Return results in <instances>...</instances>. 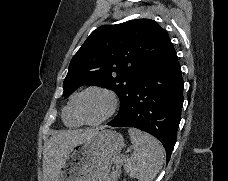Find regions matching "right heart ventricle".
Wrapping results in <instances>:
<instances>
[{
  "label": "right heart ventricle",
  "instance_id": "e07e8e85",
  "mask_svg": "<svg viewBox=\"0 0 228 181\" xmlns=\"http://www.w3.org/2000/svg\"><path fill=\"white\" fill-rule=\"evenodd\" d=\"M73 103H74V98L71 99V101L69 102L68 106L66 107V109L64 111V119H65L66 123L72 127L80 124V119L78 118V116L75 113Z\"/></svg>",
  "mask_w": 228,
  "mask_h": 181
}]
</instances>
